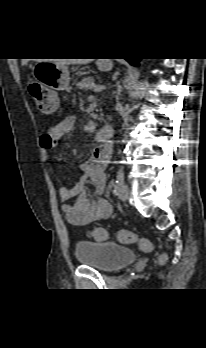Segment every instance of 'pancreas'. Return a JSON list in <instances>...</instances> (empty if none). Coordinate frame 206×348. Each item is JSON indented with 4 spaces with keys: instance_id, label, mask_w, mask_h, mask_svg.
I'll return each mask as SVG.
<instances>
[{
    "instance_id": "cf45deb5",
    "label": "pancreas",
    "mask_w": 206,
    "mask_h": 348,
    "mask_svg": "<svg viewBox=\"0 0 206 348\" xmlns=\"http://www.w3.org/2000/svg\"><path fill=\"white\" fill-rule=\"evenodd\" d=\"M77 87L79 89H93L95 87L94 78L93 77L84 78L82 81H80L77 84Z\"/></svg>"
}]
</instances>
